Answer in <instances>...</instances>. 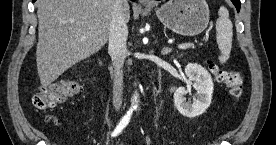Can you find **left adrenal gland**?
Here are the masks:
<instances>
[{
    "instance_id": "1",
    "label": "left adrenal gland",
    "mask_w": 276,
    "mask_h": 145,
    "mask_svg": "<svg viewBox=\"0 0 276 145\" xmlns=\"http://www.w3.org/2000/svg\"><path fill=\"white\" fill-rule=\"evenodd\" d=\"M171 50H172L171 48L165 47V48H163V50H162V54H163V55H166V54L170 53Z\"/></svg>"
}]
</instances>
